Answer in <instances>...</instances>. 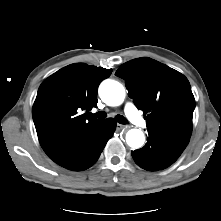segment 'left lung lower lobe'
<instances>
[{
    "mask_svg": "<svg viewBox=\"0 0 221 221\" xmlns=\"http://www.w3.org/2000/svg\"><path fill=\"white\" fill-rule=\"evenodd\" d=\"M183 150L157 137L149 136L146 145L132 151V157L137 165L148 171L167 168L174 163Z\"/></svg>",
    "mask_w": 221,
    "mask_h": 221,
    "instance_id": "left-lung-lower-lobe-1",
    "label": "left lung lower lobe"
}]
</instances>
